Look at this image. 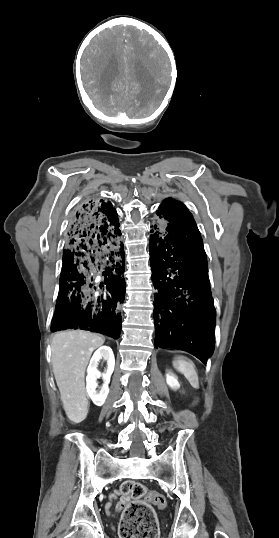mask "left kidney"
I'll return each mask as SVG.
<instances>
[{"instance_id": "1", "label": "left kidney", "mask_w": 279, "mask_h": 538, "mask_svg": "<svg viewBox=\"0 0 279 538\" xmlns=\"http://www.w3.org/2000/svg\"><path fill=\"white\" fill-rule=\"evenodd\" d=\"M166 382L168 386H170V388H173V390H179L180 384L177 378H175V376H172V374H166Z\"/></svg>"}]
</instances>
